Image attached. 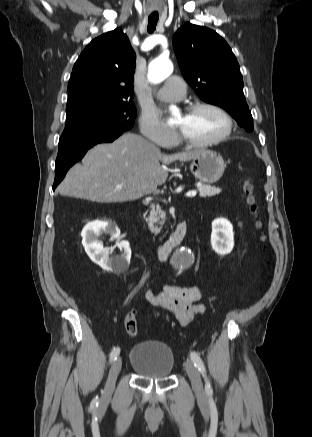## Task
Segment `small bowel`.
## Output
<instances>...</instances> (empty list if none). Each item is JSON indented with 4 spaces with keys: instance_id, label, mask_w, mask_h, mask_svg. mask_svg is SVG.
Listing matches in <instances>:
<instances>
[{
    "instance_id": "obj_1",
    "label": "small bowel",
    "mask_w": 312,
    "mask_h": 437,
    "mask_svg": "<svg viewBox=\"0 0 312 437\" xmlns=\"http://www.w3.org/2000/svg\"><path fill=\"white\" fill-rule=\"evenodd\" d=\"M202 292L196 286L165 285L160 290L148 289L146 300L169 312L181 326H188L194 317L204 312L205 307L198 303Z\"/></svg>"
}]
</instances>
